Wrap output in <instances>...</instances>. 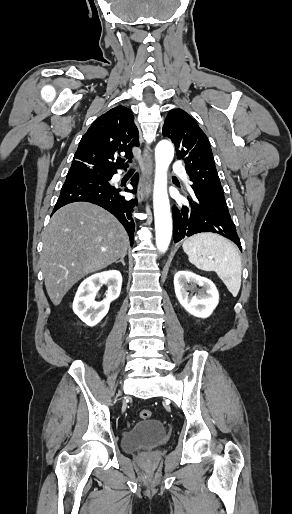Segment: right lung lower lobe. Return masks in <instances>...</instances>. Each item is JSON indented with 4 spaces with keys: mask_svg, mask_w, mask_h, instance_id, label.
Segmentation results:
<instances>
[{
    "mask_svg": "<svg viewBox=\"0 0 292 514\" xmlns=\"http://www.w3.org/2000/svg\"><path fill=\"white\" fill-rule=\"evenodd\" d=\"M117 173V172H116ZM115 174V173H114ZM114 174L106 177H93L87 175H69L62 186L60 196L54 207L53 213L62 206L78 201H86L103 207L112 213L125 227L133 244L135 225L132 211L137 204L136 200L125 199L121 191L135 193L138 183V174L131 180L133 190L120 189L109 184Z\"/></svg>",
    "mask_w": 292,
    "mask_h": 514,
    "instance_id": "right-lung-lower-lobe-1",
    "label": "right lung lower lobe"
}]
</instances>
